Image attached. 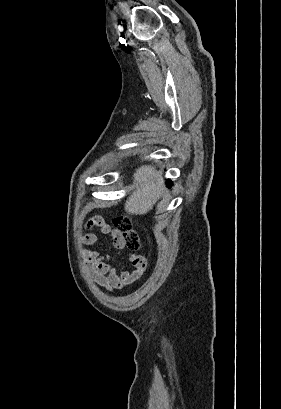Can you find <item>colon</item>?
I'll use <instances>...</instances> for the list:
<instances>
[{
    "instance_id": "5ec220e1",
    "label": "colon",
    "mask_w": 281,
    "mask_h": 409,
    "mask_svg": "<svg viewBox=\"0 0 281 409\" xmlns=\"http://www.w3.org/2000/svg\"><path fill=\"white\" fill-rule=\"evenodd\" d=\"M113 224L120 234L119 240L126 249H139V236L131 229L130 223L126 217H116Z\"/></svg>"
}]
</instances>
